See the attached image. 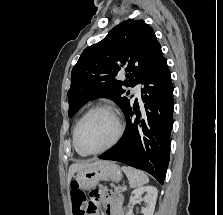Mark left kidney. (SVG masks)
I'll return each instance as SVG.
<instances>
[{"mask_svg":"<svg viewBox=\"0 0 223 215\" xmlns=\"http://www.w3.org/2000/svg\"><path fill=\"white\" fill-rule=\"evenodd\" d=\"M146 191L145 197H142V193ZM157 187L154 185H145V187H137V189H133L130 195V203L131 201H137V199H143L146 201V207H142V213L144 215H153L155 209V203L157 199ZM129 203V211H127L126 215H132V207Z\"/></svg>","mask_w":223,"mask_h":215,"instance_id":"1","label":"left kidney"}]
</instances>
